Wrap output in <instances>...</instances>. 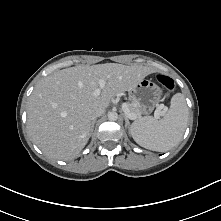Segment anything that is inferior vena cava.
<instances>
[{
	"label": "inferior vena cava",
	"mask_w": 221,
	"mask_h": 221,
	"mask_svg": "<svg viewBox=\"0 0 221 221\" xmlns=\"http://www.w3.org/2000/svg\"><path fill=\"white\" fill-rule=\"evenodd\" d=\"M104 113V109H96L92 114V119L95 120L97 117H100Z\"/></svg>",
	"instance_id": "obj_1"
}]
</instances>
